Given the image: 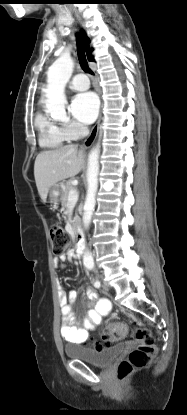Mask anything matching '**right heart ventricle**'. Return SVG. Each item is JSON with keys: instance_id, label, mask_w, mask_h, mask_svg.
<instances>
[{"instance_id": "obj_1", "label": "right heart ventricle", "mask_w": 187, "mask_h": 415, "mask_svg": "<svg viewBox=\"0 0 187 415\" xmlns=\"http://www.w3.org/2000/svg\"><path fill=\"white\" fill-rule=\"evenodd\" d=\"M35 126L39 143L44 148H58L68 141L62 127L41 111L35 117Z\"/></svg>"}]
</instances>
